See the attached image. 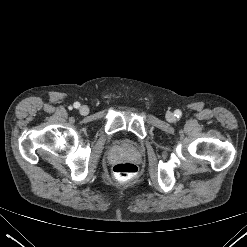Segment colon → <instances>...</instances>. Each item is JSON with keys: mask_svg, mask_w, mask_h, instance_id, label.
I'll return each mask as SVG.
<instances>
[{"mask_svg": "<svg viewBox=\"0 0 247 247\" xmlns=\"http://www.w3.org/2000/svg\"><path fill=\"white\" fill-rule=\"evenodd\" d=\"M138 173V168L130 162L118 163L113 167V174L119 181L126 182L134 179Z\"/></svg>", "mask_w": 247, "mask_h": 247, "instance_id": "colon-1", "label": "colon"}]
</instances>
